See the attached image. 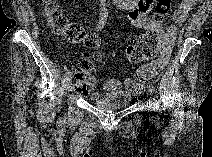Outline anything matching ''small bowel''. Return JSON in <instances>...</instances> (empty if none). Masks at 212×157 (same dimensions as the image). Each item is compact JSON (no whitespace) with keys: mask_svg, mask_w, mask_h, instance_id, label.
Wrapping results in <instances>:
<instances>
[{"mask_svg":"<svg viewBox=\"0 0 212 157\" xmlns=\"http://www.w3.org/2000/svg\"><path fill=\"white\" fill-rule=\"evenodd\" d=\"M152 0H118L117 5L120 9L128 12L130 23L138 29H148L152 26V21L149 17L152 8ZM195 6L194 0H181L177 10L173 15V23L163 31V42L161 52L157 59L146 63L138 68L136 77H126L124 80L108 79L104 83L106 91H122L126 90L134 94H139L145 87V84L155 78L159 72L168 64L172 45L177 36L178 26H181L186 21L189 13ZM96 96V95H94Z\"/></svg>","mask_w":212,"mask_h":157,"instance_id":"1","label":"small bowel"}]
</instances>
